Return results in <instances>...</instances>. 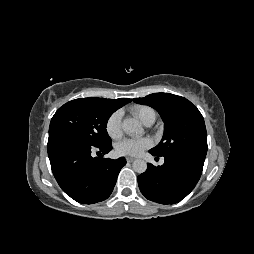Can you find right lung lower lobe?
Returning <instances> with one entry per match:
<instances>
[{
	"label": "right lung lower lobe",
	"mask_w": 254,
	"mask_h": 254,
	"mask_svg": "<svg viewBox=\"0 0 254 254\" xmlns=\"http://www.w3.org/2000/svg\"><path fill=\"white\" fill-rule=\"evenodd\" d=\"M111 149V143L94 146L77 137L57 132L49 134L47 144L56 181L68 196L82 204L103 201L112 193L126 160L124 157L112 160L101 156ZM95 150L99 157L93 156Z\"/></svg>",
	"instance_id": "98d812e1"
}]
</instances>
